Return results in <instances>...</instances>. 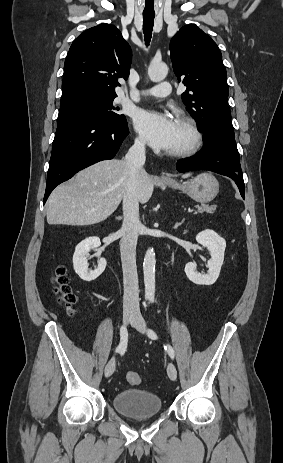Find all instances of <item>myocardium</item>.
<instances>
[{
    "label": "myocardium",
    "instance_id": "f54148a6",
    "mask_svg": "<svg viewBox=\"0 0 283 463\" xmlns=\"http://www.w3.org/2000/svg\"><path fill=\"white\" fill-rule=\"evenodd\" d=\"M177 122L186 128L190 134V142L180 149L168 151V155L177 158L189 157L195 154L202 146L203 135L197 122L188 116H181Z\"/></svg>",
    "mask_w": 283,
    "mask_h": 463
}]
</instances>
